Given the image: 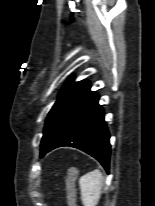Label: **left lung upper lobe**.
I'll return each mask as SVG.
<instances>
[{
  "label": "left lung upper lobe",
  "mask_w": 155,
  "mask_h": 206,
  "mask_svg": "<svg viewBox=\"0 0 155 206\" xmlns=\"http://www.w3.org/2000/svg\"><path fill=\"white\" fill-rule=\"evenodd\" d=\"M87 80L74 82L70 78L50 110L41 141V152L62 137L74 123L98 100Z\"/></svg>",
  "instance_id": "1"
}]
</instances>
